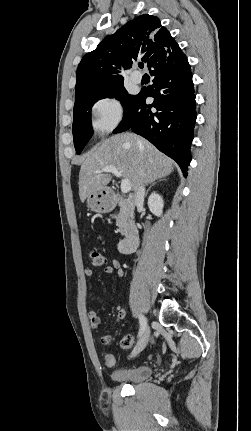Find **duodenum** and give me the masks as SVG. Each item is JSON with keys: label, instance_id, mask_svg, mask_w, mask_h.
<instances>
[{"label": "duodenum", "instance_id": "duodenum-1", "mask_svg": "<svg viewBox=\"0 0 251 431\" xmlns=\"http://www.w3.org/2000/svg\"><path fill=\"white\" fill-rule=\"evenodd\" d=\"M115 203L123 206L129 212V218L125 225L123 238L118 243V250L123 254H130L134 252L139 243L138 227L132 217L134 210V201L131 198H117Z\"/></svg>", "mask_w": 251, "mask_h": 431}]
</instances>
